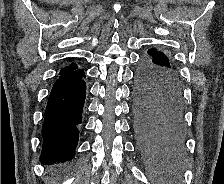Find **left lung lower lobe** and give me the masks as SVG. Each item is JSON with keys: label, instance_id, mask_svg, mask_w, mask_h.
I'll list each match as a JSON object with an SVG mask.
<instances>
[{"label": "left lung lower lobe", "instance_id": "left-lung-lower-lobe-1", "mask_svg": "<svg viewBox=\"0 0 224 184\" xmlns=\"http://www.w3.org/2000/svg\"><path fill=\"white\" fill-rule=\"evenodd\" d=\"M152 49L143 53L135 74L134 129L141 147L179 149L184 143L183 95L178 74Z\"/></svg>", "mask_w": 224, "mask_h": 184}]
</instances>
